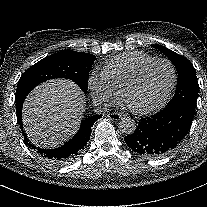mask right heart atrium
<instances>
[{
  "label": "right heart atrium",
  "mask_w": 207,
  "mask_h": 207,
  "mask_svg": "<svg viewBox=\"0 0 207 207\" xmlns=\"http://www.w3.org/2000/svg\"><path fill=\"white\" fill-rule=\"evenodd\" d=\"M88 88L93 100L104 106H113L119 98V94L111 87L102 74L95 71L88 77Z\"/></svg>",
  "instance_id": "right-heart-atrium-1"
}]
</instances>
